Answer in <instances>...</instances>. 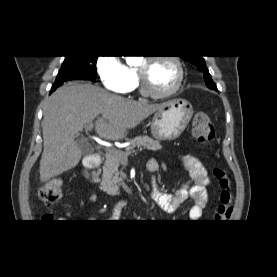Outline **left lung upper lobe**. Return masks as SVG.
Listing matches in <instances>:
<instances>
[{
	"instance_id": "obj_1",
	"label": "left lung upper lobe",
	"mask_w": 277,
	"mask_h": 277,
	"mask_svg": "<svg viewBox=\"0 0 277 277\" xmlns=\"http://www.w3.org/2000/svg\"><path fill=\"white\" fill-rule=\"evenodd\" d=\"M185 60L190 61L194 65H196L200 71L204 74V79L207 86L212 90H217L215 83L213 82L211 75L207 69L203 56H182Z\"/></svg>"
}]
</instances>
